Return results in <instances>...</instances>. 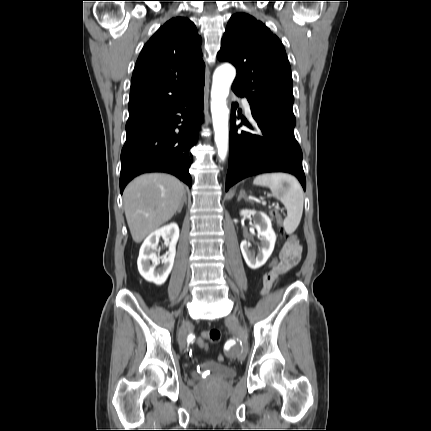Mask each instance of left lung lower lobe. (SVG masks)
<instances>
[{
    "mask_svg": "<svg viewBox=\"0 0 431 431\" xmlns=\"http://www.w3.org/2000/svg\"><path fill=\"white\" fill-rule=\"evenodd\" d=\"M234 93L243 97L237 91ZM237 107V103L232 104L226 191L248 176L266 172L291 173L305 190L302 151L294 136L295 118L250 105L256 123L244 124L253 132L237 131L234 125Z\"/></svg>",
    "mask_w": 431,
    "mask_h": 431,
    "instance_id": "1",
    "label": "left lung lower lobe"
}]
</instances>
